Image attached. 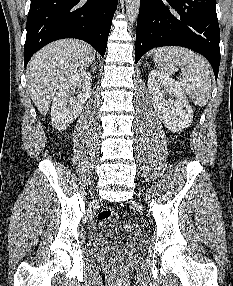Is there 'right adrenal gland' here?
Segmentation results:
<instances>
[{
	"label": "right adrenal gland",
	"mask_w": 233,
	"mask_h": 286,
	"mask_svg": "<svg viewBox=\"0 0 233 286\" xmlns=\"http://www.w3.org/2000/svg\"><path fill=\"white\" fill-rule=\"evenodd\" d=\"M92 70L95 71L96 70V61L93 62V64L91 65Z\"/></svg>",
	"instance_id": "obj_1"
}]
</instances>
